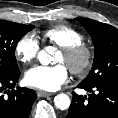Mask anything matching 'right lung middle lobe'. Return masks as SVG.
Returning a JSON list of instances; mask_svg holds the SVG:
<instances>
[{
	"label": "right lung middle lobe",
	"mask_w": 118,
	"mask_h": 118,
	"mask_svg": "<svg viewBox=\"0 0 118 118\" xmlns=\"http://www.w3.org/2000/svg\"><path fill=\"white\" fill-rule=\"evenodd\" d=\"M34 28L6 20H0V77L19 72L15 58V49L19 40Z\"/></svg>",
	"instance_id": "1"
}]
</instances>
